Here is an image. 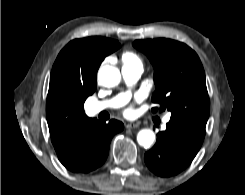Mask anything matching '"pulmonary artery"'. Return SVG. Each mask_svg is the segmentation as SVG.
I'll use <instances>...</instances> for the list:
<instances>
[{
	"instance_id": "e3ab8cb5",
	"label": "pulmonary artery",
	"mask_w": 245,
	"mask_h": 195,
	"mask_svg": "<svg viewBox=\"0 0 245 195\" xmlns=\"http://www.w3.org/2000/svg\"><path fill=\"white\" fill-rule=\"evenodd\" d=\"M122 76L127 85L131 86L140 78L143 67L140 64H124L121 69ZM128 92L119 94L111 99L96 101L89 105L91 114H98L104 110L123 106L129 99ZM170 116L164 118V124L168 123Z\"/></svg>"
}]
</instances>
